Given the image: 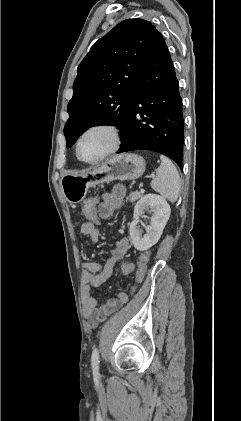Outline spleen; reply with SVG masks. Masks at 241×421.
Returning <instances> with one entry per match:
<instances>
[{
	"label": "spleen",
	"instance_id": "obj_1",
	"mask_svg": "<svg viewBox=\"0 0 241 421\" xmlns=\"http://www.w3.org/2000/svg\"><path fill=\"white\" fill-rule=\"evenodd\" d=\"M160 159L161 165L156 170V177L151 181V187L154 191L160 193L163 198L174 203L180 192L179 173L169 158L161 155Z\"/></svg>",
	"mask_w": 241,
	"mask_h": 421
}]
</instances>
